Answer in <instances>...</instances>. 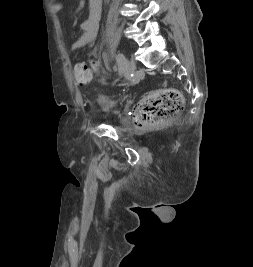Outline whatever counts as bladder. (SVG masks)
Returning <instances> with one entry per match:
<instances>
[{"label":"bladder","instance_id":"obj_1","mask_svg":"<svg viewBox=\"0 0 253 267\" xmlns=\"http://www.w3.org/2000/svg\"><path fill=\"white\" fill-rule=\"evenodd\" d=\"M96 106L102 114H108L114 107L113 99L105 94V93H98L95 97Z\"/></svg>","mask_w":253,"mask_h":267}]
</instances>
